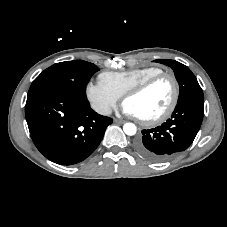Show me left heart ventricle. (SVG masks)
Here are the masks:
<instances>
[{"label":"left heart ventricle","mask_w":227,"mask_h":227,"mask_svg":"<svg viewBox=\"0 0 227 227\" xmlns=\"http://www.w3.org/2000/svg\"><path fill=\"white\" fill-rule=\"evenodd\" d=\"M173 95L172 82L161 79L140 95L125 101L139 118L150 119L161 114L169 105Z\"/></svg>","instance_id":"obj_1"}]
</instances>
